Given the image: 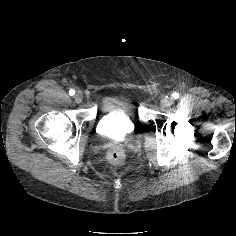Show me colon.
<instances>
[{
	"label": "colon",
	"mask_w": 236,
	"mask_h": 236,
	"mask_svg": "<svg viewBox=\"0 0 236 236\" xmlns=\"http://www.w3.org/2000/svg\"><path fill=\"white\" fill-rule=\"evenodd\" d=\"M110 162L116 166L123 167L126 164V155L122 148L113 147L108 154Z\"/></svg>",
	"instance_id": "5ec220e1"
}]
</instances>
